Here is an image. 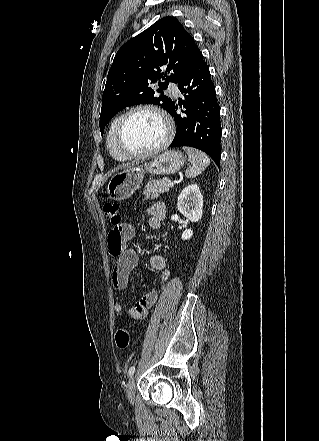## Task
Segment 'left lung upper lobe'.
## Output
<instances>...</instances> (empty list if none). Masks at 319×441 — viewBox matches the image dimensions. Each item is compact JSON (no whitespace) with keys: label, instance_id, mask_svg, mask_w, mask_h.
<instances>
[{"label":"left lung upper lobe","instance_id":"1","mask_svg":"<svg viewBox=\"0 0 319 441\" xmlns=\"http://www.w3.org/2000/svg\"><path fill=\"white\" fill-rule=\"evenodd\" d=\"M200 53L183 25L170 16L125 43L108 72L99 122L101 134L112 117L127 106L156 104L170 112L174 102L162 91L169 81L178 83ZM157 81L159 97L154 96L150 86Z\"/></svg>","mask_w":319,"mask_h":441}]
</instances>
